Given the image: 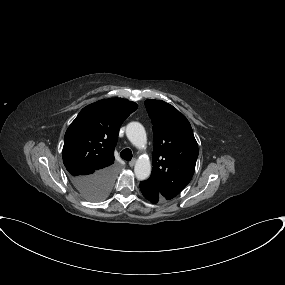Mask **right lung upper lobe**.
<instances>
[{
	"label": "right lung upper lobe",
	"mask_w": 285,
	"mask_h": 285,
	"mask_svg": "<svg viewBox=\"0 0 285 285\" xmlns=\"http://www.w3.org/2000/svg\"><path fill=\"white\" fill-rule=\"evenodd\" d=\"M138 105L122 98L103 99L84 107L65 133L63 162L72 176L112 166L123 121Z\"/></svg>",
	"instance_id": "1"
}]
</instances>
